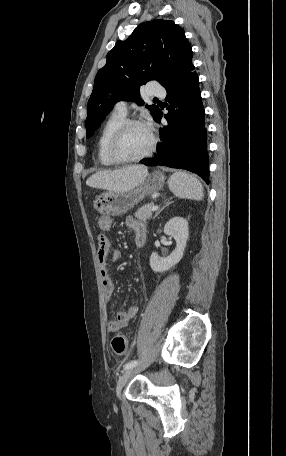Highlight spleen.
I'll return each mask as SVG.
<instances>
[{
    "label": "spleen",
    "mask_w": 286,
    "mask_h": 456,
    "mask_svg": "<svg viewBox=\"0 0 286 456\" xmlns=\"http://www.w3.org/2000/svg\"><path fill=\"white\" fill-rule=\"evenodd\" d=\"M169 189L179 198L200 201L204 197L201 182L187 172H175L168 181Z\"/></svg>",
    "instance_id": "obj_1"
}]
</instances>
